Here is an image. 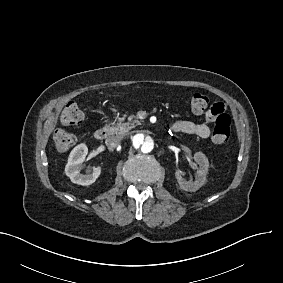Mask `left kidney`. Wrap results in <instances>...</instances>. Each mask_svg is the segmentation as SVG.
I'll use <instances>...</instances> for the list:
<instances>
[{
  "label": "left kidney",
  "instance_id": "obj_1",
  "mask_svg": "<svg viewBox=\"0 0 283 283\" xmlns=\"http://www.w3.org/2000/svg\"><path fill=\"white\" fill-rule=\"evenodd\" d=\"M194 160L199 165V169L197 170L198 178L195 182H193L192 180H186L182 176V171L180 168L175 169V178L177 179L180 188L184 191L196 192L200 187L205 185L207 181L206 176L209 168L208 159L203 153L197 152L194 155Z\"/></svg>",
  "mask_w": 283,
  "mask_h": 283
}]
</instances>
